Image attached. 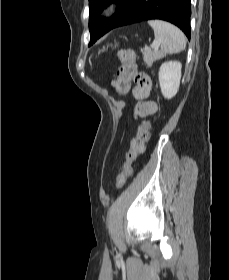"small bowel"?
Returning <instances> with one entry per match:
<instances>
[{
	"instance_id": "obj_1",
	"label": "small bowel",
	"mask_w": 229,
	"mask_h": 280,
	"mask_svg": "<svg viewBox=\"0 0 229 280\" xmlns=\"http://www.w3.org/2000/svg\"><path fill=\"white\" fill-rule=\"evenodd\" d=\"M118 80L113 82L116 87ZM131 91L132 96L138 101L136 105V115L145 117L151 115L157 111V105L149 99V91H145L139 85L131 90V82H129L127 90L124 92H119L121 95H127Z\"/></svg>"
}]
</instances>
